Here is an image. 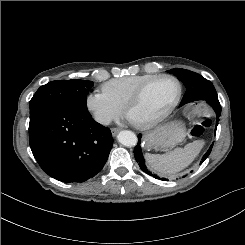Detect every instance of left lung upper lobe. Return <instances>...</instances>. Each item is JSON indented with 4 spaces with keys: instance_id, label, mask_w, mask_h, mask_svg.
<instances>
[{
    "instance_id": "obj_1",
    "label": "left lung upper lobe",
    "mask_w": 245,
    "mask_h": 245,
    "mask_svg": "<svg viewBox=\"0 0 245 245\" xmlns=\"http://www.w3.org/2000/svg\"><path fill=\"white\" fill-rule=\"evenodd\" d=\"M170 73L176 75L187 87L180 106L197 100L218 99L213 84L201 75L180 68L171 69Z\"/></svg>"
}]
</instances>
